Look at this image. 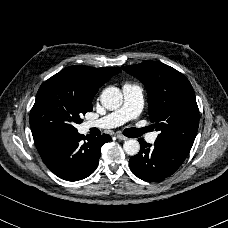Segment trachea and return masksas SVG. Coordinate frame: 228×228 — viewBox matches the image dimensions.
Returning <instances> with one entry per match:
<instances>
[{
    "instance_id": "trachea-1",
    "label": "trachea",
    "mask_w": 228,
    "mask_h": 228,
    "mask_svg": "<svg viewBox=\"0 0 228 228\" xmlns=\"http://www.w3.org/2000/svg\"><path fill=\"white\" fill-rule=\"evenodd\" d=\"M147 131V128L136 129V128H128L124 131V135L127 137H138L141 136L143 132Z\"/></svg>"
}]
</instances>
